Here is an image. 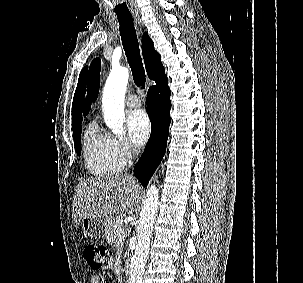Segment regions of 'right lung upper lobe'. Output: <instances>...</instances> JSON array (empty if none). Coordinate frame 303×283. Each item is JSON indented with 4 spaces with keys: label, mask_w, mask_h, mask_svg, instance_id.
I'll return each instance as SVG.
<instances>
[{
    "label": "right lung upper lobe",
    "mask_w": 303,
    "mask_h": 283,
    "mask_svg": "<svg viewBox=\"0 0 303 283\" xmlns=\"http://www.w3.org/2000/svg\"><path fill=\"white\" fill-rule=\"evenodd\" d=\"M142 53L145 62L147 75L150 79L157 83L167 79L164 73V67L161 62V58L158 52L155 51L154 45L150 37L146 32L142 36ZM85 67L79 76L77 88L73 98L72 104V123L73 127L82 123V102L85 93V81H86Z\"/></svg>",
    "instance_id": "1"
}]
</instances>
